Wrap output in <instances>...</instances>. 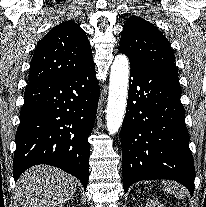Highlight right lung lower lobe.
Masks as SVG:
<instances>
[{
	"instance_id": "98d812e1",
	"label": "right lung lower lobe",
	"mask_w": 206,
	"mask_h": 207,
	"mask_svg": "<svg viewBox=\"0 0 206 207\" xmlns=\"http://www.w3.org/2000/svg\"><path fill=\"white\" fill-rule=\"evenodd\" d=\"M99 91L94 63L69 77L28 84L15 136V181L29 167L47 164L75 176L86 189Z\"/></svg>"
}]
</instances>
